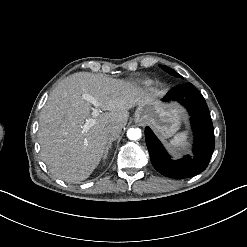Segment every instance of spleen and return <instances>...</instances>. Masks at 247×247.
<instances>
[{
	"label": "spleen",
	"mask_w": 247,
	"mask_h": 247,
	"mask_svg": "<svg viewBox=\"0 0 247 247\" xmlns=\"http://www.w3.org/2000/svg\"><path fill=\"white\" fill-rule=\"evenodd\" d=\"M170 142H176L178 144L185 145L187 143L186 132H181V133L176 134Z\"/></svg>",
	"instance_id": "1"
}]
</instances>
